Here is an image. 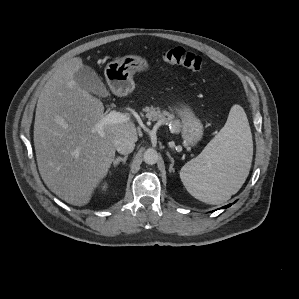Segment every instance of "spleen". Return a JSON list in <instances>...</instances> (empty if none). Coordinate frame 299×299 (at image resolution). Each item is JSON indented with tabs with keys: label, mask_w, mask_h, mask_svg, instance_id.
<instances>
[{
	"label": "spleen",
	"mask_w": 299,
	"mask_h": 299,
	"mask_svg": "<svg viewBox=\"0 0 299 299\" xmlns=\"http://www.w3.org/2000/svg\"><path fill=\"white\" fill-rule=\"evenodd\" d=\"M252 155V134L246 113L240 105H234L224 127L199 156L181 168L179 176L196 199L221 204L245 182Z\"/></svg>",
	"instance_id": "1"
}]
</instances>
